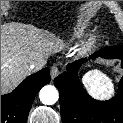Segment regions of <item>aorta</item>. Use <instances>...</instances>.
Masks as SVG:
<instances>
[{"instance_id": "aorta-1", "label": "aorta", "mask_w": 123, "mask_h": 123, "mask_svg": "<svg viewBox=\"0 0 123 123\" xmlns=\"http://www.w3.org/2000/svg\"><path fill=\"white\" fill-rule=\"evenodd\" d=\"M40 100L45 105H52L57 102L59 94L54 86L46 85L39 92Z\"/></svg>"}]
</instances>
